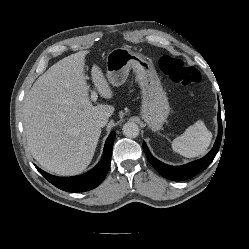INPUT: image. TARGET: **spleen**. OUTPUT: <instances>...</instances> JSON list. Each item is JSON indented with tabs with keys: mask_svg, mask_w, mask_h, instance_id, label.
Masks as SVG:
<instances>
[{
	"mask_svg": "<svg viewBox=\"0 0 249 249\" xmlns=\"http://www.w3.org/2000/svg\"><path fill=\"white\" fill-rule=\"evenodd\" d=\"M211 140L212 133L202 120H198L173 140L172 149L184 157L193 158L205 154Z\"/></svg>",
	"mask_w": 249,
	"mask_h": 249,
	"instance_id": "spleen-1",
	"label": "spleen"
}]
</instances>
